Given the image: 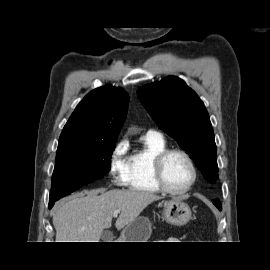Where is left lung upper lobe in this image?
I'll return each instance as SVG.
<instances>
[{
	"mask_svg": "<svg viewBox=\"0 0 270 270\" xmlns=\"http://www.w3.org/2000/svg\"><path fill=\"white\" fill-rule=\"evenodd\" d=\"M137 93L158 127L175 138L203 176L214 183L218 179L216 144L208 112L198 95L175 76L144 85Z\"/></svg>",
	"mask_w": 270,
	"mask_h": 270,
	"instance_id": "1",
	"label": "left lung upper lobe"
}]
</instances>
